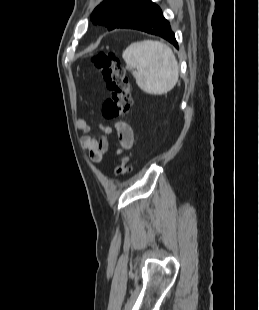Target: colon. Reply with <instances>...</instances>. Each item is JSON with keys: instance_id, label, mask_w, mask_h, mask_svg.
Segmentation results:
<instances>
[{"instance_id": "1", "label": "colon", "mask_w": 259, "mask_h": 310, "mask_svg": "<svg viewBox=\"0 0 259 310\" xmlns=\"http://www.w3.org/2000/svg\"><path fill=\"white\" fill-rule=\"evenodd\" d=\"M94 66L101 73L110 96L102 105V115L113 121L126 115L132 106L129 81L117 54L113 51H100L92 57ZM132 171V163L128 156L122 157L115 169L116 177H124Z\"/></svg>"}]
</instances>
